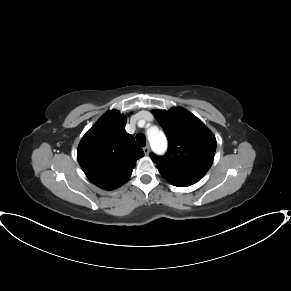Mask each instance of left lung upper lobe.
Here are the masks:
<instances>
[{
	"instance_id": "obj_1",
	"label": "left lung upper lobe",
	"mask_w": 291,
	"mask_h": 291,
	"mask_svg": "<svg viewBox=\"0 0 291 291\" xmlns=\"http://www.w3.org/2000/svg\"><path fill=\"white\" fill-rule=\"evenodd\" d=\"M154 115L169 142L165 156H150L160 174L178 187L198 182L212 165L217 144L215 136L185 109L154 111Z\"/></svg>"
}]
</instances>
